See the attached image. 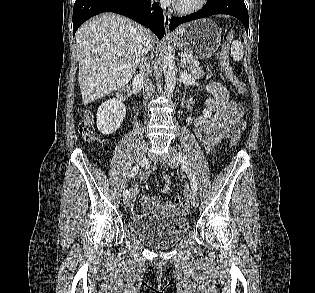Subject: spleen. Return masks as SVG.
Returning <instances> with one entry per match:
<instances>
[{
  "mask_svg": "<svg viewBox=\"0 0 315 293\" xmlns=\"http://www.w3.org/2000/svg\"><path fill=\"white\" fill-rule=\"evenodd\" d=\"M244 55V48L239 40H235L231 44V56L234 61H240Z\"/></svg>",
  "mask_w": 315,
  "mask_h": 293,
  "instance_id": "1",
  "label": "spleen"
}]
</instances>
